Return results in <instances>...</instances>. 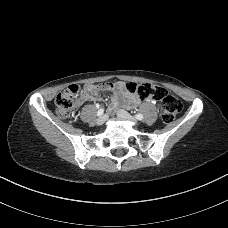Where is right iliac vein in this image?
I'll return each instance as SVG.
<instances>
[{
  "instance_id": "right-iliac-vein-1",
  "label": "right iliac vein",
  "mask_w": 228,
  "mask_h": 228,
  "mask_svg": "<svg viewBox=\"0 0 228 228\" xmlns=\"http://www.w3.org/2000/svg\"><path fill=\"white\" fill-rule=\"evenodd\" d=\"M106 120H107V115L100 116V117L96 120V124H97V125H102V124L105 123Z\"/></svg>"
}]
</instances>
